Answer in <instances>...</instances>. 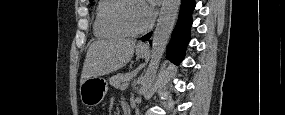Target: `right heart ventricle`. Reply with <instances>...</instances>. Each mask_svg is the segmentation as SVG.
<instances>
[{
  "label": "right heart ventricle",
  "mask_w": 285,
  "mask_h": 115,
  "mask_svg": "<svg viewBox=\"0 0 285 115\" xmlns=\"http://www.w3.org/2000/svg\"><path fill=\"white\" fill-rule=\"evenodd\" d=\"M120 0L98 1L93 20L95 36L105 39H118L126 36L110 19V15Z\"/></svg>",
  "instance_id": "e07e8e85"
}]
</instances>
